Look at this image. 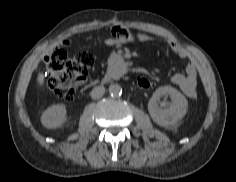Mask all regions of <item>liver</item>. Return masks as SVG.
Listing matches in <instances>:
<instances>
[{
	"instance_id": "obj_1",
	"label": "liver",
	"mask_w": 236,
	"mask_h": 182,
	"mask_svg": "<svg viewBox=\"0 0 236 182\" xmlns=\"http://www.w3.org/2000/svg\"><path fill=\"white\" fill-rule=\"evenodd\" d=\"M37 84L39 86H43V84H44V75L42 72H39V74L37 76Z\"/></svg>"
}]
</instances>
